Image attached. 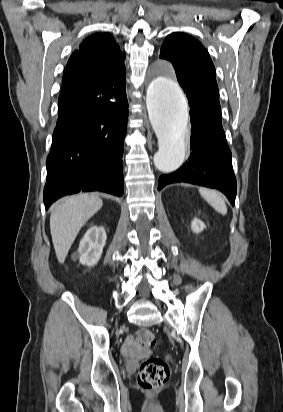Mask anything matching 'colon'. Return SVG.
<instances>
[{"mask_svg":"<svg viewBox=\"0 0 283 412\" xmlns=\"http://www.w3.org/2000/svg\"><path fill=\"white\" fill-rule=\"evenodd\" d=\"M136 340L139 345L146 348H154L157 345L154 334L146 328H141L136 332ZM169 376V366L162 358L149 357L140 365L138 383L145 390H155L163 386Z\"/></svg>","mask_w":283,"mask_h":412,"instance_id":"5ec220e1","label":"colon"}]
</instances>
